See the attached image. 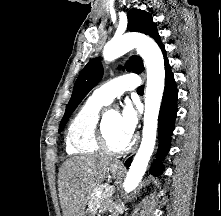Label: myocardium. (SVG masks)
<instances>
[{
	"instance_id": "1",
	"label": "myocardium",
	"mask_w": 221,
	"mask_h": 216,
	"mask_svg": "<svg viewBox=\"0 0 221 216\" xmlns=\"http://www.w3.org/2000/svg\"><path fill=\"white\" fill-rule=\"evenodd\" d=\"M105 119H106V114H104L100 118L98 127H97V140L100 145V148L112 154H123V153L130 151L135 144V141L133 140H129L125 145H122L119 147L113 146L109 142V139L107 137L106 130H105Z\"/></svg>"
}]
</instances>
